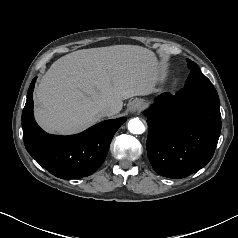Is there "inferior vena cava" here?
I'll use <instances>...</instances> for the list:
<instances>
[{
	"label": "inferior vena cava",
	"instance_id": "1",
	"mask_svg": "<svg viewBox=\"0 0 238 238\" xmlns=\"http://www.w3.org/2000/svg\"><path fill=\"white\" fill-rule=\"evenodd\" d=\"M114 113H115V109L111 107L104 106L99 109V114L102 117L112 116Z\"/></svg>",
	"mask_w": 238,
	"mask_h": 238
}]
</instances>
